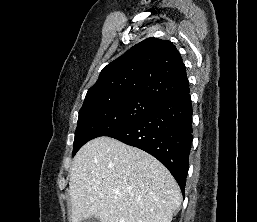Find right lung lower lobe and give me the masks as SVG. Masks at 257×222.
I'll return each instance as SVG.
<instances>
[{
	"instance_id": "right-lung-lower-lobe-1",
	"label": "right lung lower lobe",
	"mask_w": 257,
	"mask_h": 222,
	"mask_svg": "<svg viewBox=\"0 0 257 222\" xmlns=\"http://www.w3.org/2000/svg\"><path fill=\"white\" fill-rule=\"evenodd\" d=\"M192 112L188 91L160 102L143 118L109 137L157 158L168 168L184 193L193 139Z\"/></svg>"
}]
</instances>
